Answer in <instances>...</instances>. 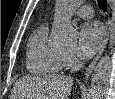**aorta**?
<instances>
[{
	"label": "aorta",
	"mask_w": 115,
	"mask_h": 99,
	"mask_svg": "<svg viewBox=\"0 0 115 99\" xmlns=\"http://www.w3.org/2000/svg\"><path fill=\"white\" fill-rule=\"evenodd\" d=\"M81 3V0H57L58 16L52 26V39L61 47L72 46L76 43L77 32L71 25V11ZM111 70V58L105 55L96 65L89 91V99H104L108 90Z\"/></svg>",
	"instance_id": "762f6f07"
}]
</instances>
